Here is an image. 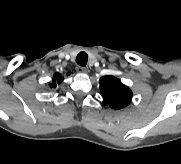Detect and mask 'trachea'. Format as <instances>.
<instances>
[{"mask_svg": "<svg viewBox=\"0 0 181 164\" xmlns=\"http://www.w3.org/2000/svg\"><path fill=\"white\" fill-rule=\"evenodd\" d=\"M88 55L85 52H80L76 57V63L80 66H86Z\"/></svg>", "mask_w": 181, "mask_h": 164, "instance_id": "trachea-1", "label": "trachea"}]
</instances>
